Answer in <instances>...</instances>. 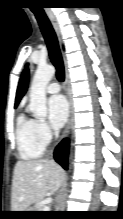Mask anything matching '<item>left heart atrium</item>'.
Returning a JSON list of instances; mask_svg holds the SVG:
<instances>
[{
    "label": "left heart atrium",
    "mask_w": 123,
    "mask_h": 219,
    "mask_svg": "<svg viewBox=\"0 0 123 219\" xmlns=\"http://www.w3.org/2000/svg\"><path fill=\"white\" fill-rule=\"evenodd\" d=\"M48 115L54 128L58 129L63 126L68 116V105L62 95H55L49 98Z\"/></svg>",
    "instance_id": "left-heart-atrium-1"
}]
</instances>
